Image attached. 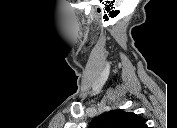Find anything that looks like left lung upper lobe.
Segmentation results:
<instances>
[{
    "instance_id": "obj_1",
    "label": "left lung upper lobe",
    "mask_w": 177,
    "mask_h": 128,
    "mask_svg": "<svg viewBox=\"0 0 177 128\" xmlns=\"http://www.w3.org/2000/svg\"><path fill=\"white\" fill-rule=\"evenodd\" d=\"M93 128H146L145 120L133 112L111 110L98 116Z\"/></svg>"
}]
</instances>
